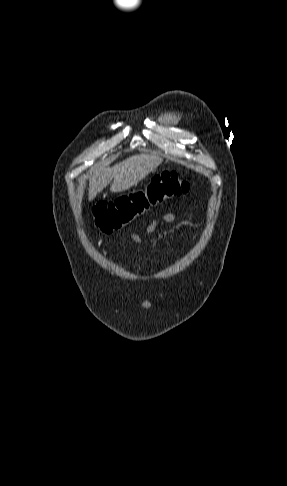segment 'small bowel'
I'll return each mask as SVG.
<instances>
[{"instance_id":"1","label":"small bowel","mask_w":287,"mask_h":486,"mask_svg":"<svg viewBox=\"0 0 287 486\" xmlns=\"http://www.w3.org/2000/svg\"><path fill=\"white\" fill-rule=\"evenodd\" d=\"M176 222V216L173 213H165L160 217L153 219L145 228L147 234L155 232L161 223L173 224ZM130 239L136 244H142L143 239L138 234H130Z\"/></svg>"}]
</instances>
